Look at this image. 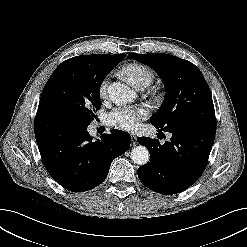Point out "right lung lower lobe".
<instances>
[{
	"label": "right lung lower lobe",
	"instance_id": "1",
	"mask_svg": "<svg viewBox=\"0 0 247 247\" xmlns=\"http://www.w3.org/2000/svg\"><path fill=\"white\" fill-rule=\"evenodd\" d=\"M87 127L53 112L38 110L36 114L35 137L42 162L58 184L74 192L100 185L112 161L131 142L129 133L117 129L94 141Z\"/></svg>",
	"mask_w": 247,
	"mask_h": 247
}]
</instances>
